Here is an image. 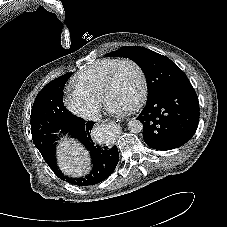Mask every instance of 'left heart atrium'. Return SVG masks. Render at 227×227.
<instances>
[{"label":"left heart atrium","mask_w":227,"mask_h":227,"mask_svg":"<svg viewBox=\"0 0 227 227\" xmlns=\"http://www.w3.org/2000/svg\"><path fill=\"white\" fill-rule=\"evenodd\" d=\"M131 109V105L117 102H107L106 110L110 115L120 116Z\"/></svg>","instance_id":"39dd6f15"}]
</instances>
